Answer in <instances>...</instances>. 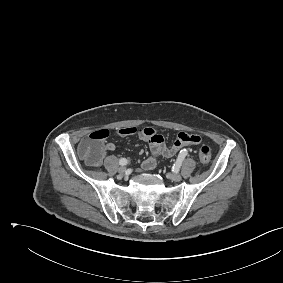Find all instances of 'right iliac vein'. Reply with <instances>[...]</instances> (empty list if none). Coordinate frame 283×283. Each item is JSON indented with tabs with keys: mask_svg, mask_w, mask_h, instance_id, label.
I'll return each mask as SVG.
<instances>
[{
	"mask_svg": "<svg viewBox=\"0 0 283 283\" xmlns=\"http://www.w3.org/2000/svg\"><path fill=\"white\" fill-rule=\"evenodd\" d=\"M118 173L121 175V176H124L126 174V167L122 166L118 169Z\"/></svg>",
	"mask_w": 283,
	"mask_h": 283,
	"instance_id": "1",
	"label": "right iliac vein"
}]
</instances>
